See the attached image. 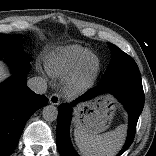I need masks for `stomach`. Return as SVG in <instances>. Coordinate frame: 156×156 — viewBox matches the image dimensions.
<instances>
[{"label": "stomach", "mask_w": 156, "mask_h": 156, "mask_svg": "<svg viewBox=\"0 0 156 156\" xmlns=\"http://www.w3.org/2000/svg\"><path fill=\"white\" fill-rule=\"evenodd\" d=\"M109 110H94L92 113H82L79 110L75 112L74 123L76 125L91 127L95 133H100L108 128V123L112 119V115L108 114Z\"/></svg>", "instance_id": "0dacf381"}]
</instances>
